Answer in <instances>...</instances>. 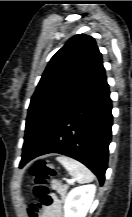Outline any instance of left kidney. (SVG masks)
<instances>
[{"mask_svg": "<svg viewBox=\"0 0 132 217\" xmlns=\"http://www.w3.org/2000/svg\"><path fill=\"white\" fill-rule=\"evenodd\" d=\"M96 186L88 184L72 189L65 201V217H85L93 202Z\"/></svg>", "mask_w": 132, "mask_h": 217, "instance_id": "obj_1", "label": "left kidney"}]
</instances>
